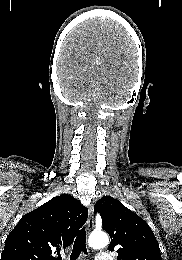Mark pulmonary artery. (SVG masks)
Returning <instances> with one entry per match:
<instances>
[{
  "mask_svg": "<svg viewBox=\"0 0 182 260\" xmlns=\"http://www.w3.org/2000/svg\"><path fill=\"white\" fill-rule=\"evenodd\" d=\"M95 260H110V257L106 252H99L95 257Z\"/></svg>",
  "mask_w": 182,
  "mask_h": 260,
  "instance_id": "1",
  "label": "pulmonary artery"
}]
</instances>
